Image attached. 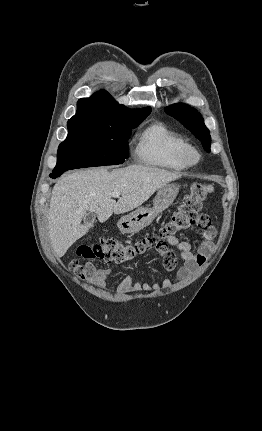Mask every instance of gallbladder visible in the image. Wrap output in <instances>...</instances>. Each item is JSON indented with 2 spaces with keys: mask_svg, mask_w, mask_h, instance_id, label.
Listing matches in <instances>:
<instances>
[{
  "mask_svg": "<svg viewBox=\"0 0 262 431\" xmlns=\"http://www.w3.org/2000/svg\"><path fill=\"white\" fill-rule=\"evenodd\" d=\"M95 219H96L95 214L92 212H88L85 214L83 218L84 224L90 228L93 225Z\"/></svg>",
  "mask_w": 262,
  "mask_h": 431,
  "instance_id": "bac80fb5",
  "label": "gallbladder"
}]
</instances>
